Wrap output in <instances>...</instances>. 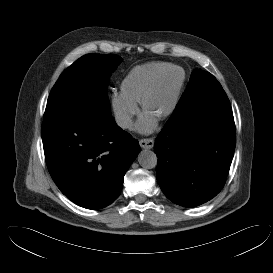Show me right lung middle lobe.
<instances>
[{
  "label": "right lung middle lobe",
  "mask_w": 273,
  "mask_h": 273,
  "mask_svg": "<svg viewBox=\"0 0 273 273\" xmlns=\"http://www.w3.org/2000/svg\"><path fill=\"white\" fill-rule=\"evenodd\" d=\"M122 58L114 54H87L60 75L47 100L44 117L70 106H95L110 110L107 87Z\"/></svg>",
  "instance_id": "1"
}]
</instances>
